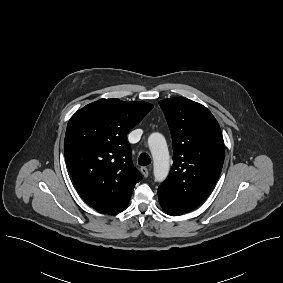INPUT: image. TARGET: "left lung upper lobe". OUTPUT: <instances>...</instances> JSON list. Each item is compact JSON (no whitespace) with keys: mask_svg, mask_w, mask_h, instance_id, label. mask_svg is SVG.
<instances>
[{"mask_svg":"<svg viewBox=\"0 0 283 283\" xmlns=\"http://www.w3.org/2000/svg\"><path fill=\"white\" fill-rule=\"evenodd\" d=\"M173 142V166L159 186L183 212L198 206L216 184L224 162L220 126L203 105L184 97L159 102Z\"/></svg>","mask_w":283,"mask_h":283,"instance_id":"5c2ea615","label":"left lung upper lobe"}]
</instances>
